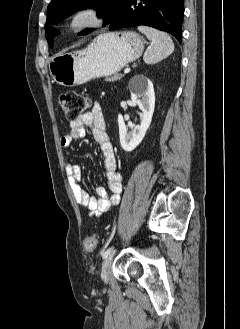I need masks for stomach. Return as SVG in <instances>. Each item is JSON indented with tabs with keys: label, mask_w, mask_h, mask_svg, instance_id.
<instances>
[{
	"label": "stomach",
	"mask_w": 240,
	"mask_h": 329,
	"mask_svg": "<svg viewBox=\"0 0 240 329\" xmlns=\"http://www.w3.org/2000/svg\"><path fill=\"white\" fill-rule=\"evenodd\" d=\"M143 49V38L135 32L104 33L85 49L54 55L49 71L59 85L73 87L116 74L137 60Z\"/></svg>",
	"instance_id": "1"
}]
</instances>
